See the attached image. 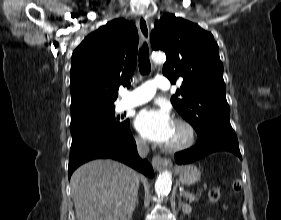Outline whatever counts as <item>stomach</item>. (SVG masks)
Segmentation results:
<instances>
[{
	"label": "stomach",
	"mask_w": 281,
	"mask_h": 220,
	"mask_svg": "<svg viewBox=\"0 0 281 220\" xmlns=\"http://www.w3.org/2000/svg\"><path fill=\"white\" fill-rule=\"evenodd\" d=\"M182 185H192L200 180V170L194 165L179 166L176 169Z\"/></svg>",
	"instance_id": "stomach-1"
}]
</instances>
